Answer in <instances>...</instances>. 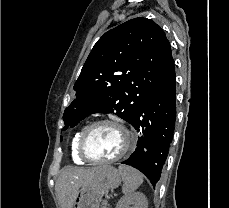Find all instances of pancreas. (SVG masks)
<instances>
[{"mask_svg":"<svg viewBox=\"0 0 229 208\" xmlns=\"http://www.w3.org/2000/svg\"><path fill=\"white\" fill-rule=\"evenodd\" d=\"M108 204H107V200H103L102 202V208H107Z\"/></svg>","mask_w":229,"mask_h":208,"instance_id":"pancreas-1","label":"pancreas"}]
</instances>
